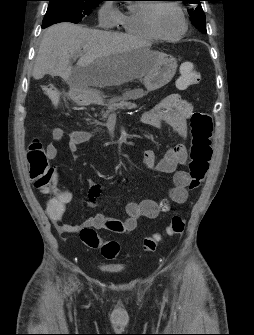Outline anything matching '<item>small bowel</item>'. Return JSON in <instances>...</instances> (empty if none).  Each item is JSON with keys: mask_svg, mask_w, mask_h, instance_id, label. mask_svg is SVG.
Masks as SVG:
<instances>
[{"mask_svg": "<svg viewBox=\"0 0 254 335\" xmlns=\"http://www.w3.org/2000/svg\"><path fill=\"white\" fill-rule=\"evenodd\" d=\"M193 112L192 104L184 99L180 94L174 93L165 97L152 109L144 113L141 118L145 125L162 128L170 127L181 140L187 135V120ZM66 136L61 128H54L51 137L54 142H61ZM91 135L86 131H73L68 134V149L72 154H76L80 145L89 141ZM46 157L53 160L57 156V147L54 143L46 146ZM187 161V150L183 142H179L171 147L166 154L157 162L153 150H146L143 154V164L147 168H155L157 171L165 174H173V187L169 190V198L160 201L143 200L141 202L127 203L126 217L118 219L110 217L103 213H97L88 217L84 222L70 225L62 222L66 212L67 204L72 200V193L69 191L53 190V198L48 202V215L54 223L57 231L62 234H76L85 227H92L97 230H107L117 234H124L134 231L137 228L140 218L154 219L161 213L170 209V202L183 204L188 199V174L184 171H177V167L184 165ZM35 186L41 190L40 185H36V178H30ZM100 194V188L93 186L89 192L87 205L91 208L97 206V200ZM50 203H58L59 208L52 210Z\"/></svg>", "mask_w": 254, "mask_h": 335, "instance_id": "c3829d8e", "label": "small bowel"}]
</instances>
